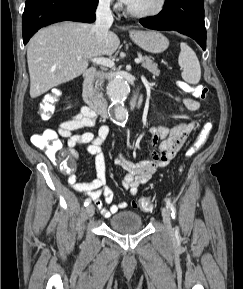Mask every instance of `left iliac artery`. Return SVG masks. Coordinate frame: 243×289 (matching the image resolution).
Instances as JSON below:
<instances>
[{"label":"left iliac artery","mask_w":243,"mask_h":289,"mask_svg":"<svg viewBox=\"0 0 243 289\" xmlns=\"http://www.w3.org/2000/svg\"><path fill=\"white\" fill-rule=\"evenodd\" d=\"M165 201H166L167 207L171 211L172 217L175 219V217H176V208H175V206L172 204V202L169 199H166Z\"/></svg>","instance_id":"1"}]
</instances>
